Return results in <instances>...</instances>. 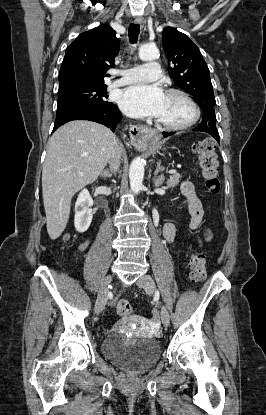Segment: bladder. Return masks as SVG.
Segmentation results:
<instances>
[{
	"mask_svg": "<svg viewBox=\"0 0 266 415\" xmlns=\"http://www.w3.org/2000/svg\"><path fill=\"white\" fill-rule=\"evenodd\" d=\"M102 353L111 362L131 373L150 369L159 359L161 348L154 338L143 337L127 342L112 332L102 342Z\"/></svg>",
	"mask_w": 266,
	"mask_h": 415,
	"instance_id": "obj_1",
	"label": "bladder"
}]
</instances>
